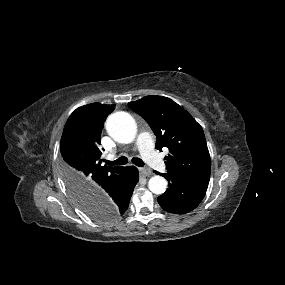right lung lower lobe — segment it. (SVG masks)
Segmentation results:
<instances>
[{
    "label": "right lung lower lobe",
    "instance_id": "obj_1",
    "mask_svg": "<svg viewBox=\"0 0 285 285\" xmlns=\"http://www.w3.org/2000/svg\"><path fill=\"white\" fill-rule=\"evenodd\" d=\"M139 181L138 169L127 166L124 170L104 183L99 191L90 198L97 205H108L117 216L127 210L133 189Z\"/></svg>",
    "mask_w": 285,
    "mask_h": 285
}]
</instances>
